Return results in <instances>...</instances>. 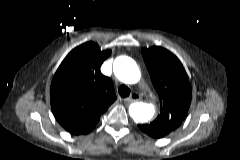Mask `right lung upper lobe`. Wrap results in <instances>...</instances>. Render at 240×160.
<instances>
[{
  "label": "right lung upper lobe",
  "instance_id": "cb5924a9",
  "mask_svg": "<svg viewBox=\"0 0 240 160\" xmlns=\"http://www.w3.org/2000/svg\"><path fill=\"white\" fill-rule=\"evenodd\" d=\"M110 51L94 42L74 48L57 69L50 87L52 112L73 135L86 134L116 100L112 80L100 67Z\"/></svg>",
  "mask_w": 240,
  "mask_h": 160
}]
</instances>
